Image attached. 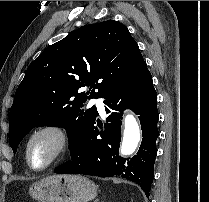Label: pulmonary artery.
Instances as JSON below:
<instances>
[{
	"mask_svg": "<svg viewBox=\"0 0 209 202\" xmlns=\"http://www.w3.org/2000/svg\"><path fill=\"white\" fill-rule=\"evenodd\" d=\"M89 106H96L97 110L103 114L105 111V105L102 99L98 98V97H94L91 100H89L88 102Z\"/></svg>",
	"mask_w": 209,
	"mask_h": 202,
	"instance_id": "pulmonary-artery-1",
	"label": "pulmonary artery"
}]
</instances>
